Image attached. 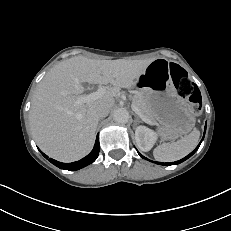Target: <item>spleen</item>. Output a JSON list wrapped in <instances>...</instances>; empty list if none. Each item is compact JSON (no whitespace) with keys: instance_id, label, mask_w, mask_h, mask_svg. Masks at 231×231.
I'll return each instance as SVG.
<instances>
[{"instance_id":"1","label":"spleen","mask_w":231,"mask_h":231,"mask_svg":"<svg viewBox=\"0 0 231 231\" xmlns=\"http://www.w3.org/2000/svg\"><path fill=\"white\" fill-rule=\"evenodd\" d=\"M200 132L194 129L189 135L181 137L176 142L163 143L153 150L157 161L172 162L188 155L198 144Z\"/></svg>"}]
</instances>
